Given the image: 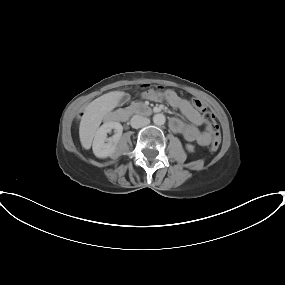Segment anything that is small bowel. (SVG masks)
<instances>
[{
  "label": "small bowel",
  "instance_id": "small-bowel-1",
  "mask_svg": "<svg viewBox=\"0 0 285 285\" xmlns=\"http://www.w3.org/2000/svg\"><path fill=\"white\" fill-rule=\"evenodd\" d=\"M144 97L152 101L166 99L172 107L180 110L188 119L189 123H185L178 118H172L170 128L173 132L179 133L183 135L187 141L196 142L201 146H206L210 143L211 138L209 132L198 128L203 123V117L193 108L189 101L181 98L172 90L159 93L151 89L144 94Z\"/></svg>",
  "mask_w": 285,
  "mask_h": 285
}]
</instances>
